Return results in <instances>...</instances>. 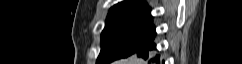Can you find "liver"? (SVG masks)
<instances>
[{
    "label": "liver",
    "mask_w": 242,
    "mask_h": 64,
    "mask_svg": "<svg viewBox=\"0 0 242 64\" xmlns=\"http://www.w3.org/2000/svg\"><path fill=\"white\" fill-rule=\"evenodd\" d=\"M115 64H144V61L136 56H131L127 59L116 61Z\"/></svg>",
    "instance_id": "1"
}]
</instances>
